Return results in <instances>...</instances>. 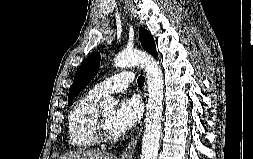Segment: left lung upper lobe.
I'll return each mask as SVG.
<instances>
[{"label":"left lung upper lobe","mask_w":253,"mask_h":159,"mask_svg":"<svg viewBox=\"0 0 253 159\" xmlns=\"http://www.w3.org/2000/svg\"><path fill=\"white\" fill-rule=\"evenodd\" d=\"M139 38L142 47L154 57H157L156 46L153 37L145 29H139ZM100 66V54L94 53L90 55L78 68L73 84L68 94V106L71 105L73 98L87 86V84L96 76Z\"/></svg>","instance_id":"obj_1"}]
</instances>
